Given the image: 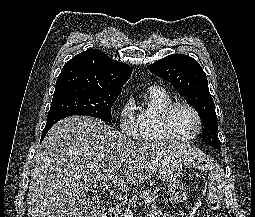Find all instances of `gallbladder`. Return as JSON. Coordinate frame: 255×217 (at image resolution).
Segmentation results:
<instances>
[{"instance_id": "obj_1", "label": "gallbladder", "mask_w": 255, "mask_h": 217, "mask_svg": "<svg viewBox=\"0 0 255 217\" xmlns=\"http://www.w3.org/2000/svg\"><path fill=\"white\" fill-rule=\"evenodd\" d=\"M88 201H89V203L92 204V205H94V203H96V199H95V198L89 197V198H88Z\"/></svg>"}]
</instances>
